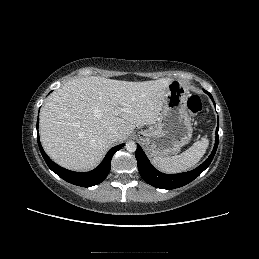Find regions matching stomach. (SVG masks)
Wrapping results in <instances>:
<instances>
[{"label":"stomach","mask_w":259,"mask_h":259,"mask_svg":"<svg viewBox=\"0 0 259 259\" xmlns=\"http://www.w3.org/2000/svg\"><path fill=\"white\" fill-rule=\"evenodd\" d=\"M188 96L185 84L172 80L156 125L139 133L149 157L176 154L191 139L193 128L187 111Z\"/></svg>","instance_id":"obj_1"}]
</instances>
